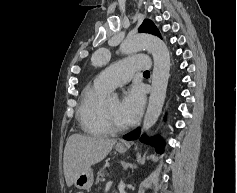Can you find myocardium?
Here are the masks:
<instances>
[{
	"instance_id": "1",
	"label": "myocardium",
	"mask_w": 237,
	"mask_h": 193,
	"mask_svg": "<svg viewBox=\"0 0 237 193\" xmlns=\"http://www.w3.org/2000/svg\"><path fill=\"white\" fill-rule=\"evenodd\" d=\"M102 118L104 125L110 132H121L128 128L127 125H118L112 120L106 107V103L104 102L102 104Z\"/></svg>"
}]
</instances>
